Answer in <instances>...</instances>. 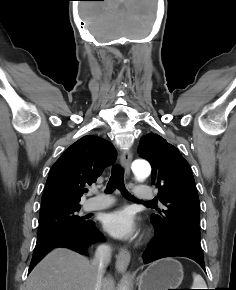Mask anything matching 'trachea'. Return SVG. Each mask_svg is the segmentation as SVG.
<instances>
[{
  "instance_id": "3493384b",
  "label": "trachea",
  "mask_w": 236,
  "mask_h": 290,
  "mask_svg": "<svg viewBox=\"0 0 236 290\" xmlns=\"http://www.w3.org/2000/svg\"><path fill=\"white\" fill-rule=\"evenodd\" d=\"M119 189L121 194L130 200H136L124 186V170L120 166H113L111 171L110 179L107 183L106 192L112 193L114 190ZM151 203V201H148Z\"/></svg>"
}]
</instances>
